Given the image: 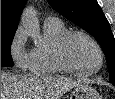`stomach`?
<instances>
[{"label":"stomach","mask_w":115,"mask_h":99,"mask_svg":"<svg viewBox=\"0 0 115 99\" xmlns=\"http://www.w3.org/2000/svg\"><path fill=\"white\" fill-rule=\"evenodd\" d=\"M70 99H101V97L90 85L80 84L71 91Z\"/></svg>","instance_id":"1"}]
</instances>
